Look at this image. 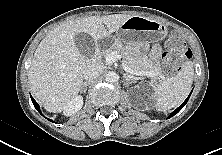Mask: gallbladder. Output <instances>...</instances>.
<instances>
[{
    "instance_id": "gallbladder-1",
    "label": "gallbladder",
    "mask_w": 222,
    "mask_h": 155,
    "mask_svg": "<svg viewBox=\"0 0 222 155\" xmlns=\"http://www.w3.org/2000/svg\"><path fill=\"white\" fill-rule=\"evenodd\" d=\"M75 45L78 51L85 58H92L95 53V42L93 38L86 33H78L74 36Z\"/></svg>"
}]
</instances>
